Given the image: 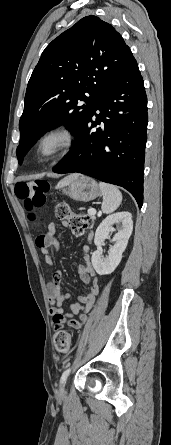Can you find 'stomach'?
I'll use <instances>...</instances> for the list:
<instances>
[{
    "mask_svg": "<svg viewBox=\"0 0 171 445\" xmlns=\"http://www.w3.org/2000/svg\"><path fill=\"white\" fill-rule=\"evenodd\" d=\"M63 193L71 199L89 202L99 197L102 192L95 180L87 176H80L70 182H60Z\"/></svg>",
    "mask_w": 171,
    "mask_h": 445,
    "instance_id": "obj_1",
    "label": "stomach"
}]
</instances>
